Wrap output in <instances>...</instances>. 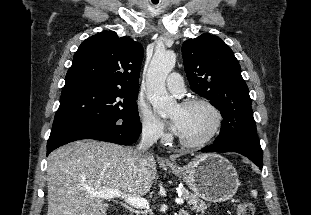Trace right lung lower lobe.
Here are the masks:
<instances>
[{
  "mask_svg": "<svg viewBox=\"0 0 311 215\" xmlns=\"http://www.w3.org/2000/svg\"><path fill=\"white\" fill-rule=\"evenodd\" d=\"M140 121L131 125L74 122L54 126L47 142V155L61 145L81 139H95L130 145L141 133Z\"/></svg>",
  "mask_w": 311,
  "mask_h": 215,
  "instance_id": "right-lung-lower-lobe-1",
  "label": "right lung lower lobe"
}]
</instances>
